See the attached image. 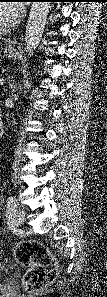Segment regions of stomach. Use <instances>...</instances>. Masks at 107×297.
Listing matches in <instances>:
<instances>
[{
  "label": "stomach",
  "instance_id": "obj_1",
  "mask_svg": "<svg viewBox=\"0 0 107 297\" xmlns=\"http://www.w3.org/2000/svg\"><path fill=\"white\" fill-rule=\"evenodd\" d=\"M3 53L4 56L9 59H14L17 57V50L13 47H5Z\"/></svg>",
  "mask_w": 107,
  "mask_h": 297
}]
</instances>
